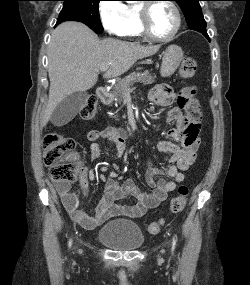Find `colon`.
<instances>
[{
  "label": "colon",
  "instance_id": "colon-1",
  "mask_svg": "<svg viewBox=\"0 0 250 285\" xmlns=\"http://www.w3.org/2000/svg\"><path fill=\"white\" fill-rule=\"evenodd\" d=\"M197 70V63L193 58H185L179 68V74L183 79H191ZM196 89L186 86L182 92L183 112L191 123L197 124L201 118L200 107L195 99ZM97 106L92 98H88L80 110L84 119H92L96 116ZM75 144L70 138L51 132L44 138V162L49 168L50 176L55 182L70 183L76 178L79 159L74 152ZM188 188L181 186L178 195L170 202V211L180 213L186 205ZM163 226V220L153 221L147 225L150 234H158Z\"/></svg>",
  "mask_w": 250,
  "mask_h": 285
}]
</instances>
